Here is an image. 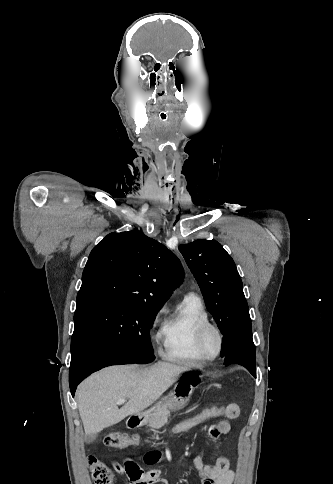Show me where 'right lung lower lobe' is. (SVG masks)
Listing matches in <instances>:
<instances>
[{
    "instance_id": "right-lung-lower-lobe-1",
    "label": "right lung lower lobe",
    "mask_w": 333,
    "mask_h": 484,
    "mask_svg": "<svg viewBox=\"0 0 333 484\" xmlns=\"http://www.w3.org/2000/svg\"><path fill=\"white\" fill-rule=\"evenodd\" d=\"M134 360L107 338L83 329L71 345L69 384L72 396L77 385L91 373L109 365L131 364Z\"/></svg>"
}]
</instances>
